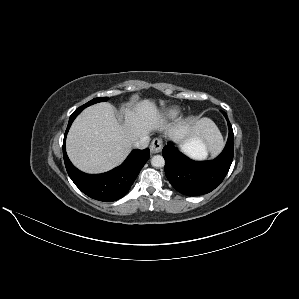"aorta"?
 Here are the masks:
<instances>
[{
    "instance_id": "1",
    "label": "aorta",
    "mask_w": 299,
    "mask_h": 299,
    "mask_svg": "<svg viewBox=\"0 0 299 299\" xmlns=\"http://www.w3.org/2000/svg\"><path fill=\"white\" fill-rule=\"evenodd\" d=\"M151 165L153 167H163L165 165V160L161 155H155L151 159Z\"/></svg>"
}]
</instances>
